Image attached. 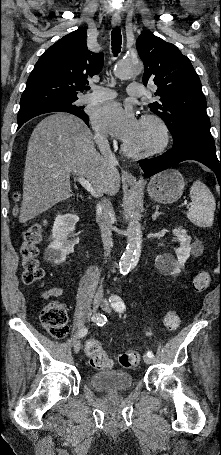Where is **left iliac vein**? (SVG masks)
Here are the masks:
<instances>
[{
  "instance_id": "1",
  "label": "left iliac vein",
  "mask_w": 221,
  "mask_h": 455,
  "mask_svg": "<svg viewBox=\"0 0 221 455\" xmlns=\"http://www.w3.org/2000/svg\"><path fill=\"white\" fill-rule=\"evenodd\" d=\"M101 308H102L105 312H107V313H109V312L111 311L110 304H109V302H108L107 300H103V302H102V304H101ZM144 362H145L146 364H151V363L153 362V360H152V358L149 357L148 355H145V356H144Z\"/></svg>"
}]
</instances>
